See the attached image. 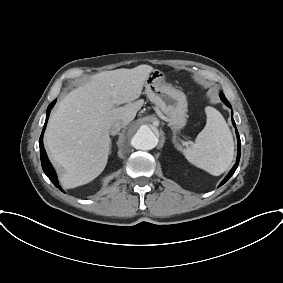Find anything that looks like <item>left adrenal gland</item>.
<instances>
[{
  "label": "left adrenal gland",
  "mask_w": 283,
  "mask_h": 283,
  "mask_svg": "<svg viewBox=\"0 0 283 283\" xmlns=\"http://www.w3.org/2000/svg\"><path fill=\"white\" fill-rule=\"evenodd\" d=\"M172 141H173L174 144L176 143V134H175V132H173Z\"/></svg>",
  "instance_id": "1"
}]
</instances>
